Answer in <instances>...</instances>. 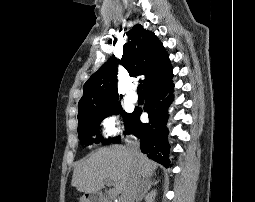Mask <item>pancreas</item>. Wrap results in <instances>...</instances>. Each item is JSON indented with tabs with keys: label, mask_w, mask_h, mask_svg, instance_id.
I'll use <instances>...</instances> for the list:
<instances>
[{
	"label": "pancreas",
	"mask_w": 255,
	"mask_h": 202,
	"mask_svg": "<svg viewBox=\"0 0 255 202\" xmlns=\"http://www.w3.org/2000/svg\"><path fill=\"white\" fill-rule=\"evenodd\" d=\"M104 202H110V201L106 199Z\"/></svg>",
	"instance_id": "obj_1"
}]
</instances>
